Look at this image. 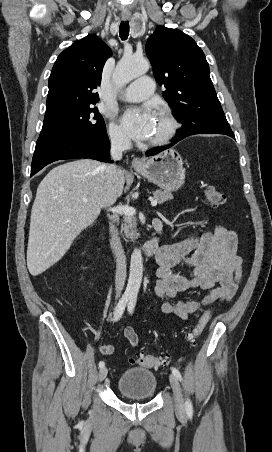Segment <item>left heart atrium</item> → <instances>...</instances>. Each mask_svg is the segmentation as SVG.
<instances>
[{"label":"left heart atrium","instance_id":"39dd6f15","mask_svg":"<svg viewBox=\"0 0 272 452\" xmlns=\"http://www.w3.org/2000/svg\"><path fill=\"white\" fill-rule=\"evenodd\" d=\"M121 122L129 136L136 140H144L151 134L153 116L149 108L140 110L132 108L123 114Z\"/></svg>","mask_w":272,"mask_h":452}]
</instances>
